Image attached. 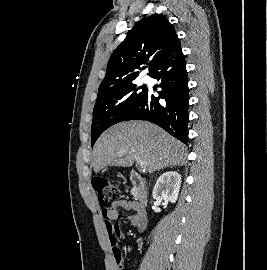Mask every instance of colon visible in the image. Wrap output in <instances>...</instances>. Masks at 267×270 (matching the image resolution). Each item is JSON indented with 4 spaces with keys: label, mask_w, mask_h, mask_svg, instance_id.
Instances as JSON below:
<instances>
[{
    "label": "colon",
    "mask_w": 267,
    "mask_h": 270,
    "mask_svg": "<svg viewBox=\"0 0 267 270\" xmlns=\"http://www.w3.org/2000/svg\"><path fill=\"white\" fill-rule=\"evenodd\" d=\"M93 187L97 192L98 200L101 204H107L120 196L119 187L107 177H98L94 179ZM114 255L117 265L121 270L123 260L119 248L115 247Z\"/></svg>",
    "instance_id": "5ec220e1"
}]
</instances>
